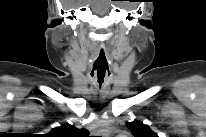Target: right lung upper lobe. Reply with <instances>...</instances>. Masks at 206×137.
Instances as JSON below:
<instances>
[{"label":"right lung upper lobe","mask_w":206,"mask_h":137,"mask_svg":"<svg viewBox=\"0 0 206 137\" xmlns=\"http://www.w3.org/2000/svg\"><path fill=\"white\" fill-rule=\"evenodd\" d=\"M78 131L79 130L76 129L74 126L63 125L60 127L53 128L49 135L53 137H72Z\"/></svg>","instance_id":"cb5924a9"}]
</instances>
